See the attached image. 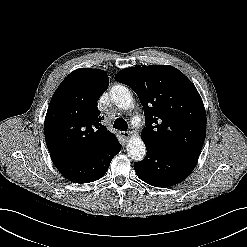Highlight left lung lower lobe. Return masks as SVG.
<instances>
[{
	"mask_svg": "<svg viewBox=\"0 0 247 247\" xmlns=\"http://www.w3.org/2000/svg\"><path fill=\"white\" fill-rule=\"evenodd\" d=\"M146 145V144H145ZM147 156L134 163L137 176L155 187H169L183 181L195 168L198 157L163 151L146 145Z\"/></svg>",
	"mask_w": 247,
	"mask_h": 247,
	"instance_id": "1",
	"label": "left lung lower lobe"
}]
</instances>
